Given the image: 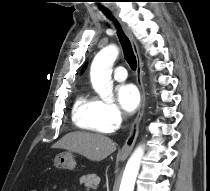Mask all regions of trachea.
Masks as SVG:
<instances>
[{
	"mask_svg": "<svg viewBox=\"0 0 210 191\" xmlns=\"http://www.w3.org/2000/svg\"><path fill=\"white\" fill-rule=\"evenodd\" d=\"M103 12L109 15V12L107 10H103ZM118 36H119L121 45L123 47L124 57L127 63L129 64V66L133 70H135L137 66L136 56L134 55L130 40L128 39V37L125 35V33L122 31V29L119 26H118Z\"/></svg>",
	"mask_w": 210,
	"mask_h": 191,
	"instance_id": "obj_1",
	"label": "trachea"
}]
</instances>
